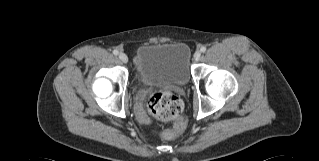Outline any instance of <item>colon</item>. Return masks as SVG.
Returning <instances> with one entry per match:
<instances>
[{"instance_id":"colon-1","label":"colon","mask_w":319,"mask_h":161,"mask_svg":"<svg viewBox=\"0 0 319 161\" xmlns=\"http://www.w3.org/2000/svg\"><path fill=\"white\" fill-rule=\"evenodd\" d=\"M146 105L158 120L174 125V129L169 133L170 138H177L184 131V104L178 96L166 91H156L147 98Z\"/></svg>"}]
</instances>
